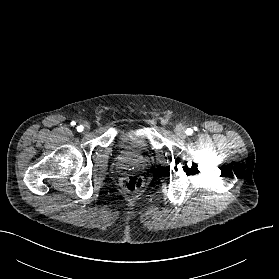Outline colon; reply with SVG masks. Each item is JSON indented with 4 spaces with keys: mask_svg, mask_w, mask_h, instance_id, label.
I'll return each mask as SVG.
<instances>
[{
    "mask_svg": "<svg viewBox=\"0 0 279 279\" xmlns=\"http://www.w3.org/2000/svg\"><path fill=\"white\" fill-rule=\"evenodd\" d=\"M143 179L137 175H129L121 178L120 185L128 193H137L143 187Z\"/></svg>",
    "mask_w": 279,
    "mask_h": 279,
    "instance_id": "1",
    "label": "colon"
}]
</instances>
